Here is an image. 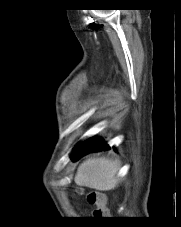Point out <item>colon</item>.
Wrapping results in <instances>:
<instances>
[{"mask_svg":"<svg viewBox=\"0 0 181 227\" xmlns=\"http://www.w3.org/2000/svg\"><path fill=\"white\" fill-rule=\"evenodd\" d=\"M87 201L89 204L96 206V209L93 212L94 217L108 218L109 210L107 208V198L103 192L91 191L87 195Z\"/></svg>","mask_w":181,"mask_h":227,"instance_id":"5ec220e1","label":"colon"}]
</instances>
